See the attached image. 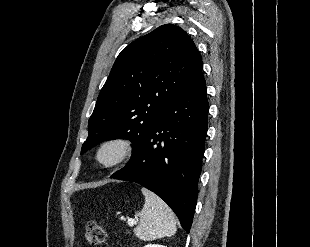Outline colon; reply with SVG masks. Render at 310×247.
I'll list each match as a JSON object with an SVG mask.
<instances>
[{"label":"colon","mask_w":310,"mask_h":247,"mask_svg":"<svg viewBox=\"0 0 310 247\" xmlns=\"http://www.w3.org/2000/svg\"><path fill=\"white\" fill-rule=\"evenodd\" d=\"M86 240L92 245H102L106 240L103 227L97 222H88L86 226Z\"/></svg>","instance_id":"obj_1"}]
</instances>
